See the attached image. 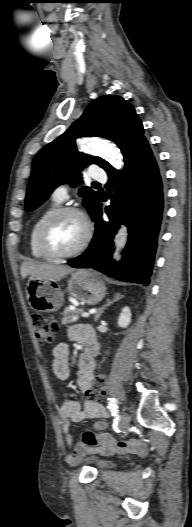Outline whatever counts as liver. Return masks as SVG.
Returning <instances> with one entry per match:
<instances>
[{
	"mask_svg": "<svg viewBox=\"0 0 192 527\" xmlns=\"http://www.w3.org/2000/svg\"><path fill=\"white\" fill-rule=\"evenodd\" d=\"M21 276L58 282L67 274L73 271V268L66 265H55L36 261H24L21 264Z\"/></svg>",
	"mask_w": 192,
	"mask_h": 527,
	"instance_id": "liver-1",
	"label": "liver"
}]
</instances>
